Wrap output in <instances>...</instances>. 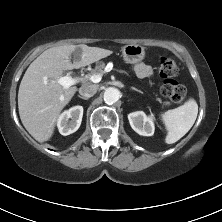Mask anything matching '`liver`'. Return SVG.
Wrapping results in <instances>:
<instances>
[{
  "mask_svg": "<svg viewBox=\"0 0 222 222\" xmlns=\"http://www.w3.org/2000/svg\"><path fill=\"white\" fill-rule=\"evenodd\" d=\"M72 53L76 54L73 63ZM112 53L85 44L64 45L47 49L30 64L19 86L18 109L23 126L35 140L45 142L52 137L60 112L77 91L76 86L65 89L58 83L63 72L85 67Z\"/></svg>",
  "mask_w": 222,
  "mask_h": 222,
  "instance_id": "1",
  "label": "liver"
}]
</instances>
